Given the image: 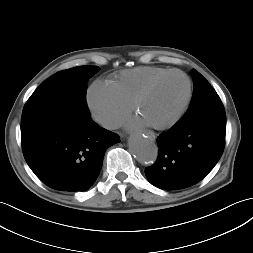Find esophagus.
Masks as SVG:
<instances>
[{"label": "esophagus", "instance_id": "34e87169", "mask_svg": "<svg viewBox=\"0 0 253 253\" xmlns=\"http://www.w3.org/2000/svg\"><path fill=\"white\" fill-rule=\"evenodd\" d=\"M147 137L152 139V140H155V136L151 133H146Z\"/></svg>", "mask_w": 253, "mask_h": 253}]
</instances>
